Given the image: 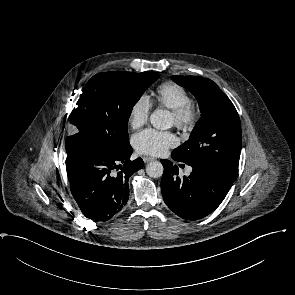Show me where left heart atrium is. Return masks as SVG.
Instances as JSON below:
<instances>
[{"label": "left heart atrium", "mask_w": 295, "mask_h": 295, "mask_svg": "<svg viewBox=\"0 0 295 295\" xmlns=\"http://www.w3.org/2000/svg\"><path fill=\"white\" fill-rule=\"evenodd\" d=\"M177 141L173 133L151 128L137 133L132 139L133 146L138 153L151 156L165 154L168 148L177 144Z\"/></svg>", "instance_id": "obj_1"}]
</instances>
